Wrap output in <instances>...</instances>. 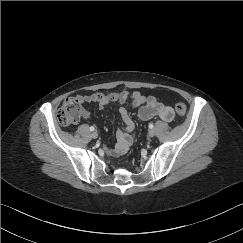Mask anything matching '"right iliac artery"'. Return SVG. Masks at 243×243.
<instances>
[{
    "mask_svg": "<svg viewBox=\"0 0 243 243\" xmlns=\"http://www.w3.org/2000/svg\"><path fill=\"white\" fill-rule=\"evenodd\" d=\"M95 128L93 126L90 127V131H94Z\"/></svg>",
    "mask_w": 243,
    "mask_h": 243,
    "instance_id": "1",
    "label": "right iliac artery"
}]
</instances>
